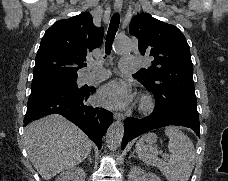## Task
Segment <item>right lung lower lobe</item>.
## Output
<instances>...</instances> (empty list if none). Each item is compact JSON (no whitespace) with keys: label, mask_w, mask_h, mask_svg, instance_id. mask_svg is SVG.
Returning a JSON list of instances; mask_svg holds the SVG:
<instances>
[{"label":"right lung lower lobe","mask_w":228,"mask_h":181,"mask_svg":"<svg viewBox=\"0 0 228 181\" xmlns=\"http://www.w3.org/2000/svg\"><path fill=\"white\" fill-rule=\"evenodd\" d=\"M94 92V87L87 86L78 90L72 86L58 85L31 88L24 124L58 113L76 124L100 148L102 136L113 122V114L87 103L89 96Z\"/></svg>","instance_id":"98d812e1"}]
</instances>
